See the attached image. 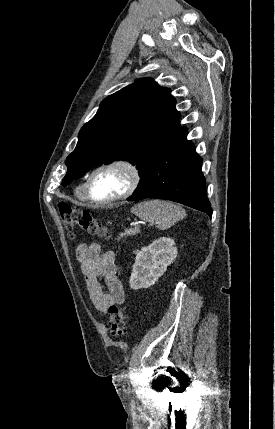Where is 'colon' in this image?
<instances>
[{"label": "colon", "mask_w": 275, "mask_h": 429, "mask_svg": "<svg viewBox=\"0 0 275 429\" xmlns=\"http://www.w3.org/2000/svg\"><path fill=\"white\" fill-rule=\"evenodd\" d=\"M58 208L63 226L70 236L74 235L76 229L104 238L109 236V228L96 220L89 211L65 202H61ZM109 322L113 337H122L126 334V316L122 307L118 305L109 307Z\"/></svg>", "instance_id": "colon-1"}]
</instances>
